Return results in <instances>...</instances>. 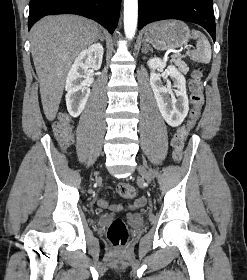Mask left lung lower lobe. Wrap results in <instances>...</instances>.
<instances>
[{
	"label": "left lung lower lobe",
	"instance_id": "0a47b994",
	"mask_svg": "<svg viewBox=\"0 0 247 280\" xmlns=\"http://www.w3.org/2000/svg\"><path fill=\"white\" fill-rule=\"evenodd\" d=\"M138 1V29L153 21L179 19L201 25L215 41V18L212 0Z\"/></svg>",
	"mask_w": 247,
	"mask_h": 280
}]
</instances>
